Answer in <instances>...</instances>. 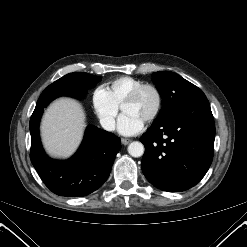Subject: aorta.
Returning <instances> with one entry per match:
<instances>
[{
    "instance_id": "762f6f07",
    "label": "aorta",
    "mask_w": 247,
    "mask_h": 247,
    "mask_svg": "<svg viewBox=\"0 0 247 247\" xmlns=\"http://www.w3.org/2000/svg\"><path fill=\"white\" fill-rule=\"evenodd\" d=\"M128 153L132 157H141L144 154V145L141 142L134 141L129 144Z\"/></svg>"
}]
</instances>
